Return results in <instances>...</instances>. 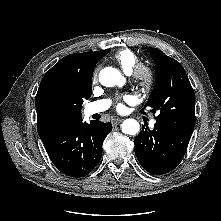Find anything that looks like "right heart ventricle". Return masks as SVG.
<instances>
[{"mask_svg": "<svg viewBox=\"0 0 221 221\" xmlns=\"http://www.w3.org/2000/svg\"><path fill=\"white\" fill-rule=\"evenodd\" d=\"M115 60L126 74H131L138 64L136 54L129 49H121L116 52Z\"/></svg>", "mask_w": 221, "mask_h": 221, "instance_id": "obj_1", "label": "right heart ventricle"}]
</instances>
